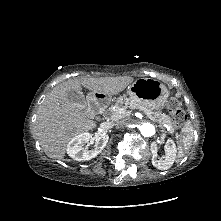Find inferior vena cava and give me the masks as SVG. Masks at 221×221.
I'll return each instance as SVG.
<instances>
[{
  "label": "inferior vena cava",
  "instance_id": "602c4592",
  "mask_svg": "<svg viewBox=\"0 0 221 221\" xmlns=\"http://www.w3.org/2000/svg\"><path fill=\"white\" fill-rule=\"evenodd\" d=\"M115 124L118 125V126L123 125V124H125V120H117L115 122Z\"/></svg>",
  "mask_w": 221,
  "mask_h": 221
}]
</instances>
